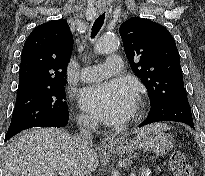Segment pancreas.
I'll return each instance as SVG.
<instances>
[{"mask_svg": "<svg viewBox=\"0 0 205 176\" xmlns=\"http://www.w3.org/2000/svg\"><path fill=\"white\" fill-rule=\"evenodd\" d=\"M148 171H149V169H147V168L142 169L141 176H148V174H147Z\"/></svg>", "mask_w": 205, "mask_h": 176, "instance_id": "cf45deb5", "label": "pancreas"}]
</instances>
